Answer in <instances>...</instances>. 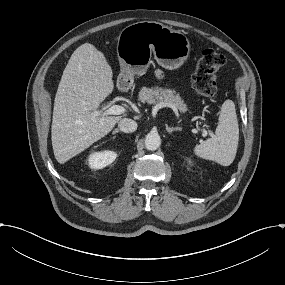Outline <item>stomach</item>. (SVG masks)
I'll use <instances>...</instances> for the list:
<instances>
[{
    "label": "stomach",
    "mask_w": 285,
    "mask_h": 285,
    "mask_svg": "<svg viewBox=\"0 0 285 285\" xmlns=\"http://www.w3.org/2000/svg\"><path fill=\"white\" fill-rule=\"evenodd\" d=\"M190 53L188 38L156 21H140L125 27L117 37V56L121 72L119 81L132 80L145 72L152 54L166 69L179 68Z\"/></svg>",
    "instance_id": "stomach-1"
}]
</instances>
